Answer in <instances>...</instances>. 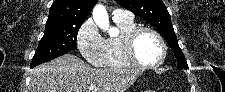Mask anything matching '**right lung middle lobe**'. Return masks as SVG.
I'll list each match as a JSON object with an SVG mask.
<instances>
[{"label":"right lung middle lobe","mask_w":225,"mask_h":92,"mask_svg":"<svg viewBox=\"0 0 225 92\" xmlns=\"http://www.w3.org/2000/svg\"><path fill=\"white\" fill-rule=\"evenodd\" d=\"M83 22L73 20L62 24L46 25L44 36L39 42L30 67L76 50L77 34Z\"/></svg>","instance_id":"dd1d6c3e"}]
</instances>
